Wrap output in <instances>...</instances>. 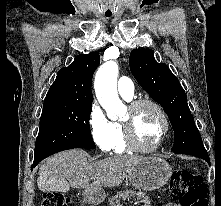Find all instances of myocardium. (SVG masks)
Returning a JSON list of instances; mask_svg holds the SVG:
<instances>
[{
	"mask_svg": "<svg viewBox=\"0 0 221 206\" xmlns=\"http://www.w3.org/2000/svg\"><path fill=\"white\" fill-rule=\"evenodd\" d=\"M144 105H149L151 107H153L158 114L161 117L162 123H163V129H162V133L160 138L158 139V141L151 147H142L136 140L135 138V134H134V130L132 127V124L130 122L127 121H122V127L124 130V134H125V140L127 143L128 148L131 151L137 152V153H152L155 152L156 150H158L162 144L164 143V141L166 140L168 134H169V129H170V125H169V120L168 117L164 111V109L162 108V106L157 103L156 101L152 100V99H148V98H143V99H138V100H134L130 103L128 109L133 112L135 110H137L138 108H140L141 106Z\"/></svg>",
	"mask_w": 221,
	"mask_h": 206,
	"instance_id": "myocardium-1",
	"label": "myocardium"
}]
</instances>
